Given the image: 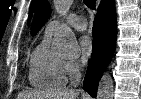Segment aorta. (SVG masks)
I'll list each match as a JSON object with an SVG mask.
<instances>
[{"instance_id": "aorta-1", "label": "aorta", "mask_w": 141, "mask_h": 99, "mask_svg": "<svg viewBox=\"0 0 141 99\" xmlns=\"http://www.w3.org/2000/svg\"><path fill=\"white\" fill-rule=\"evenodd\" d=\"M56 10L65 15L72 4V0H55ZM56 51L70 55L78 50V43L72 30L63 26L61 31L55 37ZM97 99H113V80L109 73H104L99 81Z\"/></svg>"}]
</instances>
